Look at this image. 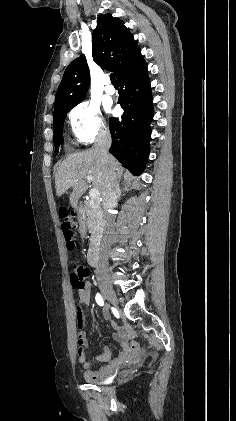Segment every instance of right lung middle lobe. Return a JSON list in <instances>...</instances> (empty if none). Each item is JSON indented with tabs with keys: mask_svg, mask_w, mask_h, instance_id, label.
Instances as JSON below:
<instances>
[{
	"mask_svg": "<svg viewBox=\"0 0 236 421\" xmlns=\"http://www.w3.org/2000/svg\"><path fill=\"white\" fill-rule=\"evenodd\" d=\"M78 103L65 105L54 110L53 115V129H54V143L56 152H58L59 145L63 143V124L67 113L74 108Z\"/></svg>",
	"mask_w": 236,
	"mask_h": 421,
	"instance_id": "1",
	"label": "right lung middle lobe"
}]
</instances>
